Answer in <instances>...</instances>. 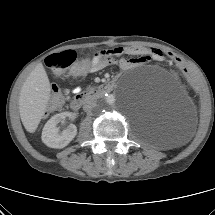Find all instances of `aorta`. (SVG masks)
I'll return each instance as SVG.
<instances>
[{"instance_id":"1","label":"aorta","mask_w":215,"mask_h":215,"mask_svg":"<svg viewBox=\"0 0 215 215\" xmlns=\"http://www.w3.org/2000/svg\"><path fill=\"white\" fill-rule=\"evenodd\" d=\"M115 103V97L113 95H108L99 100V104L103 109L113 108Z\"/></svg>"}]
</instances>
